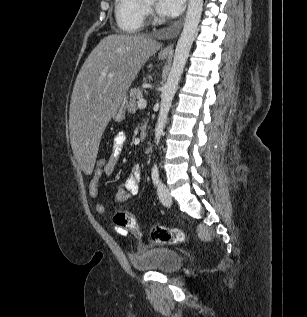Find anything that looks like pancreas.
Instances as JSON below:
<instances>
[{
    "label": "pancreas",
    "instance_id": "1",
    "mask_svg": "<svg viewBox=\"0 0 307 317\" xmlns=\"http://www.w3.org/2000/svg\"><path fill=\"white\" fill-rule=\"evenodd\" d=\"M139 99H142V90L140 88H131L130 99L126 104L129 113H135L137 111V102Z\"/></svg>",
    "mask_w": 307,
    "mask_h": 317
}]
</instances>
